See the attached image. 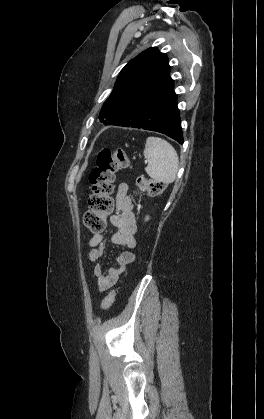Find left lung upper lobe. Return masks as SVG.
<instances>
[{
	"instance_id": "1",
	"label": "left lung upper lobe",
	"mask_w": 264,
	"mask_h": 419,
	"mask_svg": "<svg viewBox=\"0 0 264 419\" xmlns=\"http://www.w3.org/2000/svg\"><path fill=\"white\" fill-rule=\"evenodd\" d=\"M170 66L166 54L156 47L140 53L122 69L109 98L105 101L100 121L121 115L140 99L146 88L169 80Z\"/></svg>"
}]
</instances>
